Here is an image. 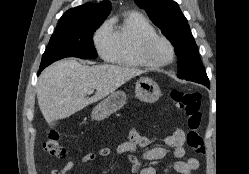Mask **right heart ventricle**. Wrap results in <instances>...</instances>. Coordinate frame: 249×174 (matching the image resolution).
Segmentation results:
<instances>
[{
	"mask_svg": "<svg viewBox=\"0 0 249 174\" xmlns=\"http://www.w3.org/2000/svg\"><path fill=\"white\" fill-rule=\"evenodd\" d=\"M115 39V51L110 62L125 67L155 68L138 54V46L141 40L156 30L151 22L138 12H128L119 22L110 24Z\"/></svg>",
	"mask_w": 249,
	"mask_h": 174,
	"instance_id": "1",
	"label": "right heart ventricle"
}]
</instances>
